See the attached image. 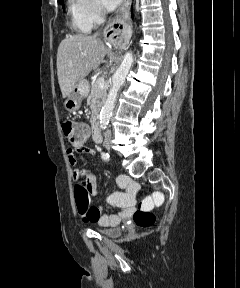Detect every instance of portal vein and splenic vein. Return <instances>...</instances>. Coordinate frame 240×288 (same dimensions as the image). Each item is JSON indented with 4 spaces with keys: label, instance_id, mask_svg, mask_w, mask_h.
<instances>
[{
    "label": "portal vein and splenic vein",
    "instance_id": "obj_1",
    "mask_svg": "<svg viewBox=\"0 0 240 288\" xmlns=\"http://www.w3.org/2000/svg\"><path fill=\"white\" fill-rule=\"evenodd\" d=\"M97 85L100 87V88H103L104 85H105V80H104V77H99L97 79Z\"/></svg>",
    "mask_w": 240,
    "mask_h": 288
}]
</instances>
